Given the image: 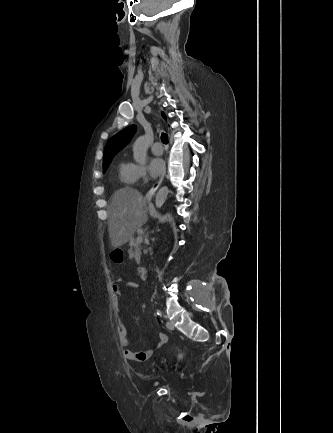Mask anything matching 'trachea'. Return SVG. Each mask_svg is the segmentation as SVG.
<instances>
[{"mask_svg":"<svg viewBox=\"0 0 333 433\" xmlns=\"http://www.w3.org/2000/svg\"><path fill=\"white\" fill-rule=\"evenodd\" d=\"M161 141H162L164 144H168V136H167V134L162 133V135H161Z\"/></svg>","mask_w":333,"mask_h":433,"instance_id":"obj_1","label":"trachea"}]
</instances>
